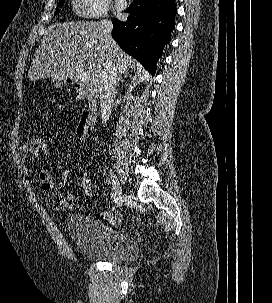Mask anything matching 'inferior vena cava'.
<instances>
[{
  "label": "inferior vena cava",
  "instance_id": "inferior-vena-cava-1",
  "mask_svg": "<svg viewBox=\"0 0 272 303\" xmlns=\"http://www.w3.org/2000/svg\"><path fill=\"white\" fill-rule=\"evenodd\" d=\"M100 25L105 34L106 48L110 52V45L114 43L113 38L111 36L113 24L110 20L103 19L100 21ZM109 52L107 54L105 61L103 62V72L100 78V89H99L101 119H102V123L104 124L107 123L111 115V110L115 98V86H116V77H117V69L114 65L112 56L110 55Z\"/></svg>",
  "mask_w": 272,
  "mask_h": 303
}]
</instances>
